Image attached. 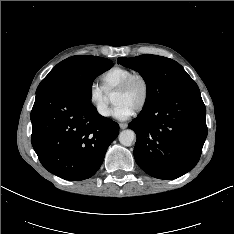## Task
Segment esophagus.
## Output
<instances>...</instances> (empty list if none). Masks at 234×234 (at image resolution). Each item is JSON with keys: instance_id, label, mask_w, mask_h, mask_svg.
<instances>
[{"instance_id": "1", "label": "esophagus", "mask_w": 234, "mask_h": 234, "mask_svg": "<svg viewBox=\"0 0 234 234\" xmlns=\"http://www.w3.org/2000/svg\"><path fill=\"white\" fill-rule=\"evenodd\" d=\"M119 126H120L121 129H126L127 128L126 123H120Z\"/></svg>"}]
</instances>
